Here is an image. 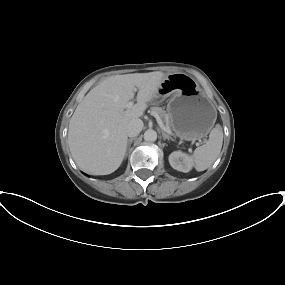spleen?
<instances>
[{
	"label": "spleen",
	"mask_w": 285,
	"mask_h": 285,
	"mask_svg": "<svg viewBox=\"0 0 285 285\" xmlns=\"http://www.w3.org/2000/svg\"><path fill=\"white\" fill-rule=\"evenodd\" d=\"M223 144V131L216 125L209 134V139L203 146L197 147L193 153V161L197 171L208 169L218 158Z\"/></svg>",
	"instance_id": "1"
}]
</instances>
